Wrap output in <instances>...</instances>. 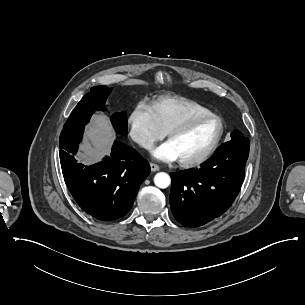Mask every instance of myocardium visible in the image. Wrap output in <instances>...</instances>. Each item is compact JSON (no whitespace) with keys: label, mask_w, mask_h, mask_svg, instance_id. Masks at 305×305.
<instances>
[{"label":"myocardium","mask_w":305,"mask_h":305,"mask_svg":"<svg viewBox=\"0 0 305 305\" xmlns=\"http://www.w3.org/2000/svg\"><path fill=\"white\" fill-rule=\"evenodd\" d=\"M210 118H217L221 122V132H220L217 140L209 149H207L201 155H199L195 158H192V159H179V162L182 166L190 168V167H194L199 164H202V163L206 162L208 159H210L214 155V153L217 152V150L221 147V145L223 144V142L226 138L227 130H228L227 124L221 115H219L218 113L209 111L206 114L189 117V118L177 123L176 125H174L173 127H171L168 130L167 137H168V140H170L171 137H173L175 134L185 131L191 125L206 121Z\"/></svg>","instance_id":"myocardium-1"}]
</instances>
